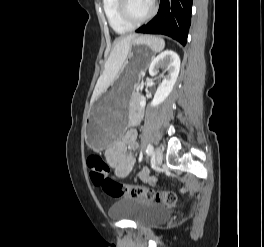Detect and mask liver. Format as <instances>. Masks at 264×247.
<instances>
[{
    "label": "liver",
    "mask_w": 264,
    "mask_h": 247,
    "mask_svg": "<svg viewBox=\"0 0 264 247\" xmlns=\"http://www.w3.org/2000/svg\"><path fill=\"white\" fill-rule=\"evenodd\" d=\"M137 38L139 37L136 34H131L114 43L110 56L105 63L104 71L95 86L90 102L91 105L119 77L120 70L128 56L132 42Z\"/></svg>",
    "instance_id": "liver-1"
}]
</instances>
